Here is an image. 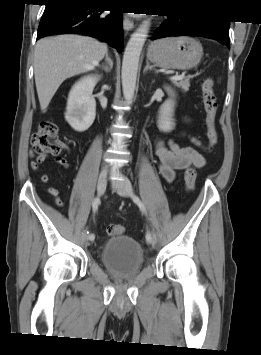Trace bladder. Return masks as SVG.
<instances>
[{"mask_svg":"<svg viewBox=\"0 0 261 355\" xmlns=\"http://www.w3.org/2000/svg\"><path fill=\"white\" fill-rule=\"evenodd\" d=\"M100 258L110 273L123 280L135 278L144 262L141 245L132 237L123 235L112 236L105 240Z\"/></svg>","mask_w":261,"mask_h":355,"instance_id":"bladder-1","label":"bladder"}]
</instances>
